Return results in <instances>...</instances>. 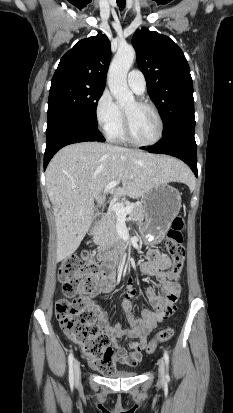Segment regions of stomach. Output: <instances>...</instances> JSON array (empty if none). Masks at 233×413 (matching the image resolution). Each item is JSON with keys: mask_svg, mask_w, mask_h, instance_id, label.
I'll return each mask as SVG.
<instances>
[{"mask_svg": "<svg viewBox=\"0 0 233 413\" xmlns=\"http://www.w3.org/2000/svg\"><path fill=\"white\" fill-rule=\"evenodd\" d=\"M181 197L177 189L167 183L151 188L143 197L145 225L142 235L152 243H160L178 215Z\"/></svg>", "mask_w": 233, "mask_h": 413, "instance_id": "obj_1", "label": "stomach"}]
</instances>
